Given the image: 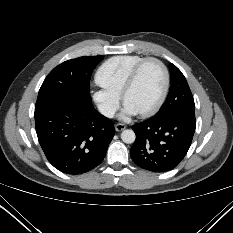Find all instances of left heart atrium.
<instances>
[{"label": "left heart atrium", "instance_id": "1", "mask_svg": "<svg viewBox=\"0 0 233 233\" xmlns=\"http://www.w3.org/2000/svg\"><path fill=\"white\" fill-rule=\"evenodd\" d=\"M136 114H138V112L135 109H133L129 105L125 104L123 112H122L123 118H128V117L134 116Z\"/></svg>", "mask_w": 233, "mask_h": 233}]
</instances>
